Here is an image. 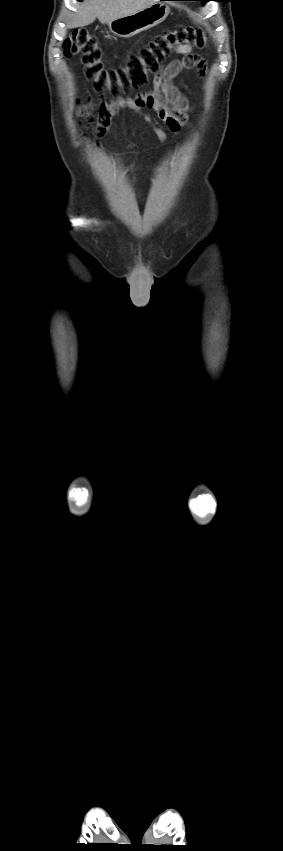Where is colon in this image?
Segmentation results:
<instances>
[{"mask_svg": "<svg viewBox=\"0 0 283 851\" xmlns=\"http://www.w3.org/2000/svg\"><path fill=\"white\" fill-rule=\"evenodd\" d=\"M209 41L206 33L197 28L175 26L157 34L126 67L114 70L104 68L102 52L97 38L86 30L74 31L63 44L67 57L80 54L85 75L96 92L108 89L112 93L127 91L147 82V73H157L169 55L180 47L204 48Z\"/></svg>", "mask_w": 283, "mask_h": 851, "instance_id": "obj_1", "label": "colon"}]
</instances>
